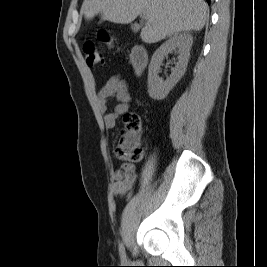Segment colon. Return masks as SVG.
Instances as JSON below:
<instances>
[{"instance_id": "5ec220e1", "label": "colon", "mask_w": 267, "mask_h": 267, "mask_svg": "<svg viewBox=\"0 0 267 267\" xmlns=\"http://www.w3.org/2000/svg\"><path fill=\"white\" fill-rule=\"evenodd\" d=\"M99 39L108 44H112L110 36L102 32ZM87 64L89 66L102 65L105 57L94 41H87L83 46ZM142 122L138 114L128 113L124 116V129L115 148L116 157L126 162V165L133 168L135 164L142 161L144 150L141 144Z\"/></svg>"}]
</instances>
